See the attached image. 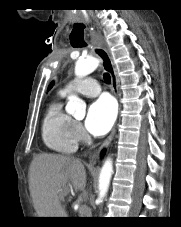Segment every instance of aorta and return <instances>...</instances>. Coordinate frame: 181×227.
Wrapping results in <instances>:
<instances>
[{"instance_id":"aorta-1","label":"aorta","mask_w":181,"mask_h":227,"mask_svg":"<svg viewBox=\"0 0 181 227\" xmlns=\"http://www.w3.org/2000/svg\"><path fill=\"white\" fill-rule=\"evenodd\" d=\"M99 65V60L94 57L78 60L75 64V75L84 77L92 73ZM66 111L75 118L84 117L86 113V104L77 96H70L66 106ZM113 174V161L107 158L103 163L98 180V202L102 203L106 197L110 180Z\"/></svg>"}]
</instances>
